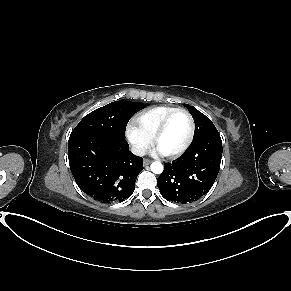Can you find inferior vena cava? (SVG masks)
Returning <instances> with one entry per match:
<instances>
[{
  "label": "inferior vena cava",
  "instance_id": "1",
  "mask_svg": "<svg viewBox=\"0 0 291 291\" xmlns=\"http://www.w3.org/2000/svg\"><path fill=\"white\" fill-rule=\"evenodd\" d=\"M131 152L137 156H144L146 154V150L141 145H133L131 147Z\"/></svg>",
  "mask_w": 291,
  "mask_h": 291
}]
</instances>
